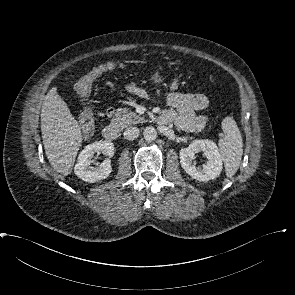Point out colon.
Returning <instances> with one entry per match:
<instances>
[{
  "label": "colon",
  "mask_w": 295,
  "mask_h": 295,
  "mask_svg": "<svg viewBox=\"0 0 295 295\" xmlns=\"http://www.w3.org/2000/svg\"><path fill=\"white\" fill-rule=\"evenodd\" d=\"M118 66L119 64L117 63L109 62V63L102 64L98 66L97 68H95L94 70L90 71L88 75L85 77V79L82 81V93L84 95L90 94L92 89V84L94 80L97 78V76L100 73L113 70L117 68ZM80 126L83 133L85 134H89L94 130L95 117L91 110L83 111L80 117Z\"/></svg>",
  "instance_id": "1"
}]
</instances>
